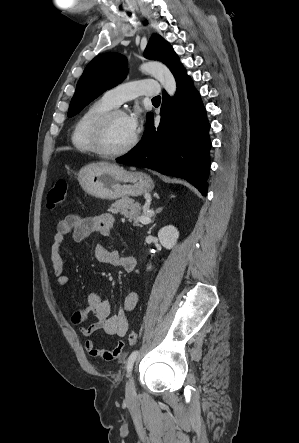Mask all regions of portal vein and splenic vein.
Wrapping results in <instances>:
<instances>
[{"label":"portal vein and splenic vein","mask_w":299,"mask_h":443,"mask_svg":"<svg viewBox=\"0 0 299 443\" xmlns=\"http://www.w3.org/2000/svg\"><path fill=\"white\" fill-rule=\"evenodd\" d=\"M140 222L145 225L149 224L151 222V216L149 214H145L144 216H141Z\"/></svg>","instance_id":"obj_1"}]
</instances>
